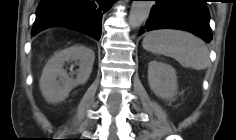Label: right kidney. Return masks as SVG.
Wrapping results in <instances>:
<instances>
[{"instance_id": "obj_1", "label": "right kidney", "mask_w": 236, "mask_h": 140, "mask_svg": "<svg viewBox=\"0 0 236 140\" xmlns=\"http://www.w3.org/2000/svg\"><path fill=\"white\" fill-rule=\"evenodd\" d=\"M94 52L82 45H74L57 52L46 64L40 79V90L46 101L58 103L65 100L70 91L85 84L92 72ZM79 65L76 78H71L63 68L66 62Z\"/></svg>"}]
</instances>
